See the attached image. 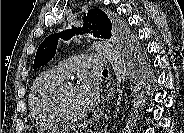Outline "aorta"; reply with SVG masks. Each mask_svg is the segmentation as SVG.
<instances>
[{
    "label": "aorta",
    "mask_w": 184,
    "mask_h": 133,
    "mask_svg": "<svg viewBox=\"0 0 184 133\" xmlns=\"http://www.w3.org/2000/svg\"><path fill=\"white\" fill-rule=\"evenodd\" d=\"M92 48L102 53L112 66L116 76L117 86L121 87V82L126 77L125 61L120 51L112 44L104 41H96L92 44Z\"/></svg>",
    "instance_id": "aorta-1"
}]
</instances>
